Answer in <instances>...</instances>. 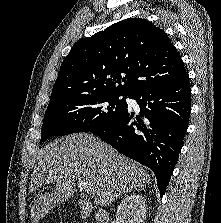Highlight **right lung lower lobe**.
I'll return each mask as SVG.
<instances>
[{"instance_id":"98d812e1","label":"right lung lower lobe","mask_w":221,"mask_h":223,"mask_svg":"<svg viewBox=\"0 0 221 223\" xmlns=\"http://www.w3.org/2000/svg\"><path fill=\"white\" fill-rule=\"evenodd\" d=\"M129 98L140 114L129 108L107 124L90 130L127 157L151 168L162 197L177 163L191 112L187 72L167 84L140 90Z\"/></svg>"}]
</instances>
